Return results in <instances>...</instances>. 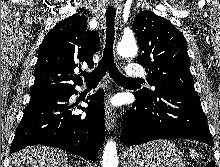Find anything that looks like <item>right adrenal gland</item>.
<instances>
[{"mask_svg":"<svg viewBox=\"0 0 220 167\" xmlns=\"http://www.w3.org/2000/svg\"><path fill=\"white\" fill-rule=\"evenodd\" d=\"M69 167H74L73 165H70ZM75 167H78V166H75Z\"/></svg>","mask_w":220,"mask_h":167,"instance_id":"1","label":"right adrenal gland"}]
</instances>
